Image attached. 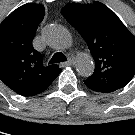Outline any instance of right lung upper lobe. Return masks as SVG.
I'll return each instance as SVG.
<instances>
[{
  "label": "right lung upper lobe",
  "mask_w": 135,
  "mask_h": 135,
  "mask_svg": "<svg viewBox=\"0 0 135 135\" xmlns=\"http://www.w3.org/2000/svg\"><path fill=\"white\" fill-rule=\"evenodd\" d=\"M44 15L43 5L28 3L0 25V79L22 96L42 93L62 71L57 65L44 66L42 55L32 46Z\"/></svg>",
  "instance_id": "obj_1"
}]
</instances>
